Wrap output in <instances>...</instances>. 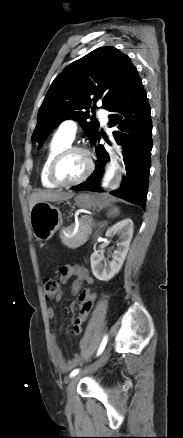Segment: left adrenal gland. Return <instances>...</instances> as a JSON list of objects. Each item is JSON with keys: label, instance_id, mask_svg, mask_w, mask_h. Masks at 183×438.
Returning <instances> with one entry per match:
<instances>
[{"label": "left adrenal gland", "instance_id": "1", "mask_svg": "<svg viewBox=\"0 0 183 438\" xmlns=\"http://www.w3.org/2000/svg\"><path fill=\"white\" fill-rule=\"evenodd\" d=\"M105 225H106V222H98L97 223L98 230L96 232L100 231Z\"/></svg>", "mask_w": 183, "mask_h": 438}]
</instances>
